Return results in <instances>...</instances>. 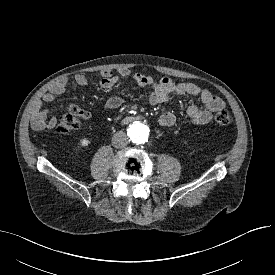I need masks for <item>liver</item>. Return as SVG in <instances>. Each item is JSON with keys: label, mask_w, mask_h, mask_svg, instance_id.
<instances>
[{"label": "liver", "mask_w": 275, "mask_h": 275, "mask_svg": "<svg viewBox=\"0 0 275 275\" xmlns=\"http://www.w3.org/2000/svg\"><path fill=\"white\" fill-rule=\"evenodd\" d=\"M45 115H46V112H40V113L37 114V117L38 118H44Z\"/></svg>", "instance_id": "1"}]
</instances>
